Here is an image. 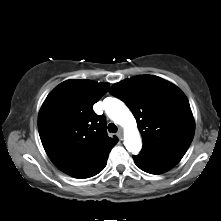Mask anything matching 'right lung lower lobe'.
I'll return each instance as SVG.
<instances>
[{
  "label": "right lung lower lobe",
  "instance_id": "right-lung-lower-lobe-1",
  "mask_svg": "<svg viewBox=\"0 0 221 221\" xmlns=\"http://www.w3.org/2000/svg\"><path fill=\"white\" fill-rule=\"evenodd\" d=\"M107 158L108 156L105 159H103L101 162L96 164L95 166L89 169L83 170V171L76 172L74 174H71L70 176L75 177V178H89V177L95 176L96 174H98L100 171L104 169L107 163Z\"/></svg>",
  "mask_w": 221,
  "mask_h": 221
}]
</instances>
